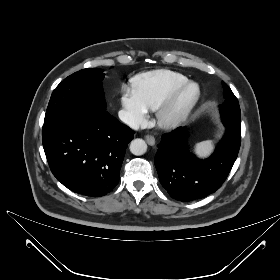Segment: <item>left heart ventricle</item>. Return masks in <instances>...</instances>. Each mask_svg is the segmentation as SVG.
Instances as JSON below:
<instances>
[{
    "mask_svg": "<svg viewBox=\"0 0 280 280\" xmlns=\"http://www.w3.org/2000/svg\"><path fill=\"white\" fill-rule=\"evenodd\" d=\"M195 92L194 88H190L187 92H185L183 94V96L181 97L180 101H179V105H182L183 103H185L189 98H191L193 96Z\"/></svg>",
    "mask_w": 280,
    "mask_h": 280,
    "instance_id": "b2bd125f",
    "label": "left heart ventricle"
}]
</instances>
